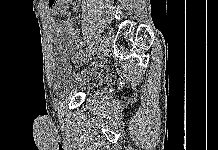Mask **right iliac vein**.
<instances>
[{"mask_svg":"<svg viewBox=\"0 0 218 150\" xmlns=\"http://www.w3.org/2000/svg\"><path fill=\"white\" fill-rule=\"evenodd\" d=\"M99 40V41H98ZM95 43L99 46H102L103 43H107L109 41V37L108 36H105L104 39H102L101 37L98 39ZM103 40V42H102ZM95 48V45L94 44H91L90 47L88 49H86V53H85V56L86 57H89L90 54H92V51L93 49Z\"/></svg>","mask_w":218,"mask_h":150,"instance_id":"1","label":"right iliac vein"}]
</instances>
